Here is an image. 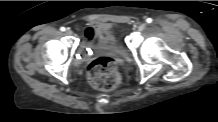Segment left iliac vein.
<instances>
[{
  "label": "left iliac vein",
  "instance_id": "4c4485c4",
  "mask_svg": "<svg viewBox=\"0 0 218 122\" xmlns=\"http://www.w3.org/2000/svg\"><path fill=\"white\" fill-rule=\"evenodd\" d=\"M146 26H147L146 23H142L139 25L138 30L143 31L146 28Z\"/></svg>",
  "mask_w": 218,
  "mask_h": 122
}]
</instances>
